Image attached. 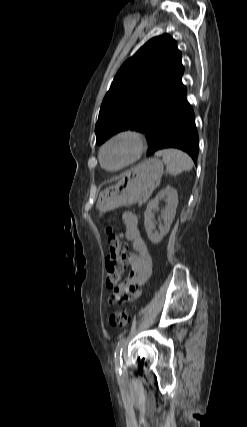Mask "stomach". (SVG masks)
Returning <instances> with one entry per match:
<instances>
[{"label":"stomach","instance_id":"1","mask_svg":"<svg viewBox=\"0 0 247 427\" xmlns=\"http://www.w3.org/2000/svg\"><path fill=\"white\" fill-rule=\"evenodd\" d=\"M163 174V164L158 158H149L137 167L124 172L119 181L98 197L96 209L100 213L112 211L122 206L136 204L143 199L155 182Z\"/></svg>","mask_w":247,"mask_h":427}]
</instances>
